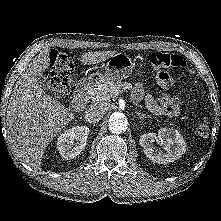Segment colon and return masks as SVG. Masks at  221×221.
<instances>
[{
	"instance_id": "colon-1",
	"label": "colon",
	"mask_w": 221,
	"mask_h": 221,
	"mask_svg": "<svg viewBox=\"0 0 221 221\" xmlns=\"http://www.w3.org/2000/svg\"><path fill=\"white\" fill-rule=\"evenodd\" d=\"M49 62L52 65V72L49 76V83L54 95L60 97L69 93L71 89L74 65L68 51L52 50L49 53ZM149 62L157 70V82L164 88L171 85V77L164 68L184 67V59L173 53L154 52L149 56ZM197 132L206 136L210 132V123L207 118H202L197 125Z\"/></svg>"
}]
</instances>
